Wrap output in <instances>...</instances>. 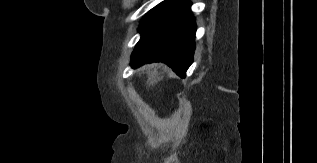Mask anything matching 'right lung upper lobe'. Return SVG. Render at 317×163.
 Segmentation results:
<instances>
[{
  "label": "right lung upper lobe",
  "instance_id": "right-lung-upper-lobe-1",
  "mask_svg": "<svg viewBox=\"0 0 317 163\" xmlns=\"http://www.w3.org/2000/svg\"><path fill=\"white\" fill-rule=\"evenodd\" d=\"M165 1H171V2H178V1H180V0H165Z\"/></svg>",
  "mask_w": 317,
  "mask_h": 163
}]
</instances>
